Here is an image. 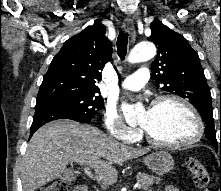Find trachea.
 Masks as SVG:
<instances>
[{
    "label": "trachea",
    "instance_id": "obj_1",
    "mask_svg": "<svg viewBox=\"0 0 221 191\" xmlns=\"http://www.w3.org/2000/svg\"><path fill=\"white\" fill-rule=\"evenodd\" d=\"M128 34L121 31L117 38V51L119 57L123 60L127 53Z\"/></svg>",
    "mask_w": 221,
    "mask_h": 191
}]
</instances>
